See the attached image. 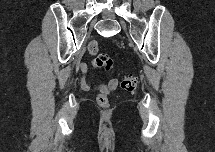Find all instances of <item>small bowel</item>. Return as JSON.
<instances>
[{
    "label": "small bowel",
    "mask_w": 215,
    "mask_h": 152,
    "mask_svg": "<svg viewBox=\"0 0 215 152\" xmlns=\"http://www.w3.org/2000/svg\"><path fill=\"white\" fill-rule=\"evenodd\" d=\"M82 70H83V72H85V71H86V68L83 67ZM117 84H118L117 80H116V79H113V80L110 81L109 85L98 84V85H96V86H94V87H90V86L85 82L84 79L82 80V88H83L84 90H87V91H88V90H92V91H97V92H107V91L110 90V89L116 88V87H117Z\"/></svg>",
    "instance_id": "1"
}]
</instances>
